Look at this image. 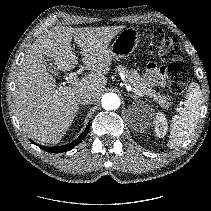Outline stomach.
I'll list each match as a JSON object with an SVG mask.
<instances>
[{"label": "stomach", "mask_w": 211, "mask_h": 211, "mask_svg": "<svg viewBox=\"0 0 211 211\" xmlns=\"http://www.w3.org/2000/svg\"><path fill=\"white\" fill-rule=\"evenodd\" d=\"M140 34L135 28H125L119 32L108 50L112 59H122L131 55L140 42Z\"/></svg>", "instance_id": "0dacf381"}]
</instances>
